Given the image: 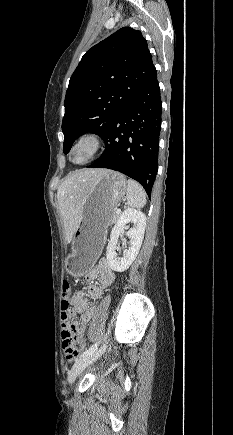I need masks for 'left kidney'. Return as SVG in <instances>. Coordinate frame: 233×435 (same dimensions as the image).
<instances>
[{"label": "left kidney", "instance_id": "obj_1", "mask_svg": "<svg viewBox=\"0 0 233 435\" xmlns=\"http://www.w3.org/2000/svg\"><path fill=\"white\" fill-rule=\"evenodd\" d=\"M129 222L133 223V228L125 233V225ZM145 226L146 216L139 210L127 208L120 215L117 223L111 231L110 241L106 252L107 262L112 270L123 272L133 263L142 245ZM124 233L130 238V246L128 249L123 251V257H118V254L116 253L118 238L119 236L124 235Z\"/></svg>", "mask_w": 233, "mask_h": 435}]
</instances>
